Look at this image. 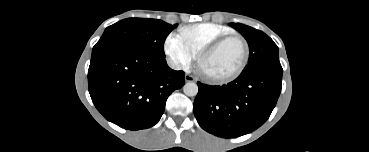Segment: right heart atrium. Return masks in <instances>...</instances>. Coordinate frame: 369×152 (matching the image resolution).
Returning <instances> with one entry per match:
<instances>
[{"label":"right heart atrium","mask_w":369,"mask_h":152,"mask_svg":"<svg viewBox=\"0 0 369 152\" xmlns=\"http://www.w3.org/2000/svg\"><path fill=\"white\" fill-rule=\"evenodd\" d=\"M164 52L174 67L187 70L197 58V53L186 43L180 33H170L164 42Z\"/></svg>","instance_id":"right-heart-atrium-1"}]
</instances>
